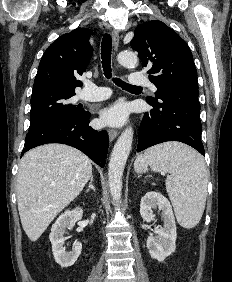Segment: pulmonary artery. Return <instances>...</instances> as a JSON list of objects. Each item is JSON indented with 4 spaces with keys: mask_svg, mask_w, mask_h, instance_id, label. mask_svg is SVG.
<instances>
[{
    "mask_svg": "<svg viewBox=\"0 0 232 282\" xmlns=\"http://www.w3.org/2000/svg\"><path fill=\"white\" fill-rule=\"evenodd\" d=\"M129 83L133 86L146 85L152 91H156V86L141 73H133L130 76ZM110 96V90L106 87L97 86L92 82H88L82 92V98L88 101H101Z\"/></svg>",
    "mask_w": 232,
    "mask_h": 282,
    "instance_id": "pulmonary-artery-1",
    "label": "pulmonary artery"
}]
</instances>
